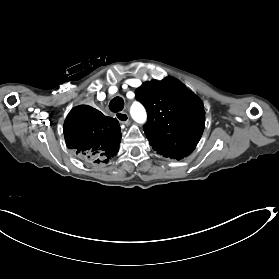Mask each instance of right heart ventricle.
I'll use <instances>...</instances> for the list:
<instances>
[{
    "instance_id": "e07e8e85",
    "label": "right heart ventricle",
    "mask_w": 279,
    "mask_h": 279,
    "mask_svg": "<svg viewBox=\"0 0 279 279\" xmlns=\"http://www.w3.org/2000/svg\"><path fill=\"white\" fill-rule=\"evenodd\" d=\"M106 56H104V55H101V54H98V55H96L95 56V60H97V61H99V60H102V59H104ZM135 93L134 92H132V91H129V92H127L126 94H125V96H124V100H125V102L129 105L131 102H133V100L135 99Z\"/></svg>"
}]
</instances>
